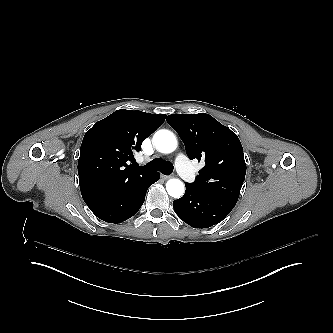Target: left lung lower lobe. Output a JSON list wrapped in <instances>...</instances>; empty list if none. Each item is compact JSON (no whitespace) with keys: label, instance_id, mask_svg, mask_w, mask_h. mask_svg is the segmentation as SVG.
<instances>
[{"label":"left lung lower lobe","instance_id":"0a47b994","mask_svg":"<svg viewBox=\"0 0 333 333\" xmlns=\"http://www.w3.org/2000/svg\"><path fill=\"white\" fill-rule=\"evenodd\" d=\"M182 198L173 202L175 213L194 228H208L221 222L234 208L237 200L206 194L190 183H185Z\"/></svg>","mask_w":333,"mask_h":333}]
</instances>
